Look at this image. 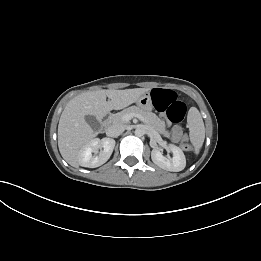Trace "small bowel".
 Segmentation results:
<instances>
[{
  "label": "small bowel",
  "mask_w": 261,
  "mask_h": 261,
  "mask_svg": "<svg viewBox=\"0 0 261 261\" xmlns=\"http://www.w3.org/2000/svg\"><path fill=\"white\" fill-rule=\"evenodd\" d=\"M184 137L182 131L178 127L172 128V138L174 141L178 142Z\"/></svg>",
  "instance_id": "1"
}]
</instances>
